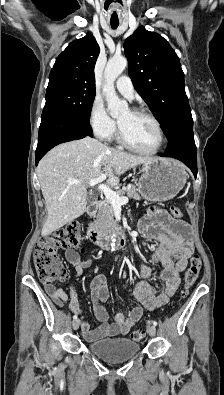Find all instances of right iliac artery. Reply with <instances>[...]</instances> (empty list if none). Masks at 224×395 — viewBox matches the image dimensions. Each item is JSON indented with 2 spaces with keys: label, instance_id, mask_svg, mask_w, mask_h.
Wrapping results in <instances>:
<instances>
[{
  "label": "right iliac artery",
  "instance_id": "right-iliac-artery-1",
  "mask_svg": "<svg viewBox=\"0 0 224 395\" xmlns=\"http://www.w3.org/2000/svg\"><path fill=\"white\" fill-rule=\"evenodd\" d=\"M73 319H74V320L77 319V315H74V316H73Z\"/></svg>",
  "mask_w": 224,
  "mask_h": 395
}]
</instances>
